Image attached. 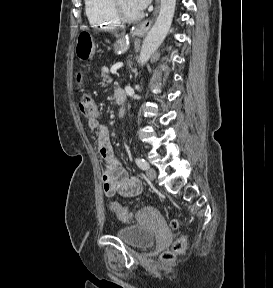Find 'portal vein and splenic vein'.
I'll return each mask as SVG.
<instances>
[{
  "label": "portal vein and splenic vein",
  "mask_w": 273,
  "mask_h": 288,
  "mask_svg": "<svg viewBox=\"0 0 273 288\" xmlns=\"http://www.w3.org/2000/svg\"><path fill=\"white\" fill-rule=\"evenodd\" d=\"M123 66V63H118L112 66L111 72L114 74L116 73L117 69L121 68Z\"/></svg>",
  "instance_id": "1"
}]
</instances>
